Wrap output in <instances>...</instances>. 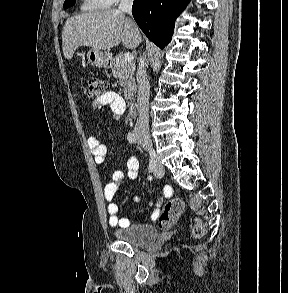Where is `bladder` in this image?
Listing matches in <instances>:
<instances>
[{
	"instance_id": "31cf9c89",
	"label": "bladder",
	"mask_w": 288,
	"mask_h": 293,
	"mask_svg": "<svg viewBox=\"0 0 288 293\" xmlns=\"http://www.w3.org/2000/svg\"><path fill=\"white\" fill-rule=\"evenodd\" d=\"M113 235L117 240L124 243L142 245L154 239L157 235V230L152 225L136 224L115 229Z\"/></svg>"
}]
</instances>
